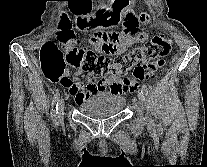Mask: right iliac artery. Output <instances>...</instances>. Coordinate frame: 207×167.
<instances>
[{
  "instance_id": "obj_1",
  "label": "right iliac artery",
  "mask_w": 207,
  "mask_h": 167,
  "mask_svg": "<svg viewBox=\"0 0 207 167\" xmlns=\"http://www.w3.org/2000/svg\"><path fill=\"white\" fill-rule=\"evenodd\" d=\"M60 94L56 93L53 97L52 101V110H51V117L53 123L57 124L59 120V114H58V101H59Z\"/></svg>"
}]
</instances>
